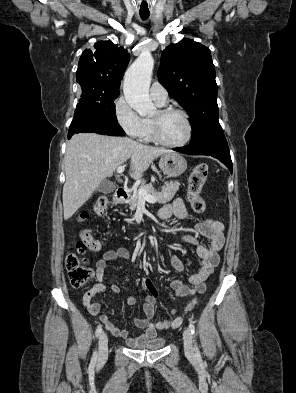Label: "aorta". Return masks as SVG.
<instances>
[{
    "instance_id": "1",
    "label": "aorta",
    "mask_w": 296,
    "mask_h": 393,
    "mask_svg": "<svg viewBox=\"0 0 296 393\" xmlns=\"http://www.w3.org/2000/svg\"><path fill=\"white\" fill-rule=\"evenodd\" d=\"M154 60L142 53L125 73L123 92L127 103L140 115L153 114L156 107L149 97Z\"/></svg>"
}]
</instances>
